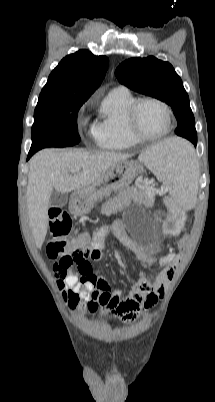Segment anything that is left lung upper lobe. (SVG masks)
<instances>
[{
  "mask_svg": "<svg viewBox=\"0 0 215 402\" xmlns=\"http://www.w3.org/2000/svg\"><path fill=\"white\" fill-rule=\"evenodd\" d=\"M115 75L128 88L170 105L178 123L175 133L196 146L197 133L189 97L170 63L153 56L131 58L117 67Z\"/></svg>",
  "mask_w": 215,
  "mask_h": 402,
  "instance_id": "5c2ea615",
  "label": "left lung upper lobe"
}]
</instances>
